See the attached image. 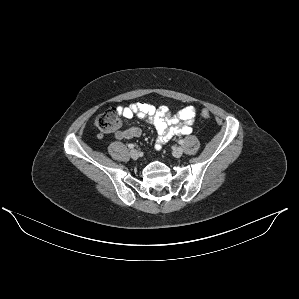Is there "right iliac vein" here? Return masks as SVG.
<instances>
[{"mask_svg": "<svg viewBox=\"0 0 299 299\" xmlns=\"http://www.w3.org/2000/svg\"><path fill=\"white\" fill-rule=\"evenodd\" d=\"M130 157L132 159H137L139 157V152L137 150H135V149L131 150L130 151Z\"/></svg>", "mask_w": 299, "mask_h": 299, "instance_id": "obj_1", "label": "right iliac vein"}]
</instances>
